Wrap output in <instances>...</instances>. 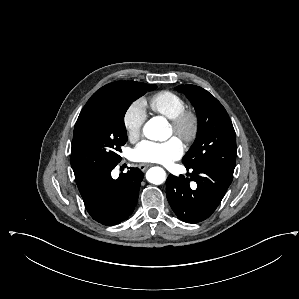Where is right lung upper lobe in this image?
<instances>
[{
	"instance_id": "cb5924a9",
	"label": "right lung upper lobe",
	"mask_w": 299,
	"mask_h": 299,
	"mask_svg": "<svg viewBox=\"0 0 299 299\" xmlns=\"http://www.w3.org/2000/svg\"><path fill=\"white\" fill-rule=\"evenodd\" d=\"M141 84L140 82H134V81H117V82H112L109 83L99 90H97L91 98L88 100L84 108L82 109L81 113L79 116H82L84 113H86L89 109L94 107L96 104H98L100 101L105 99L106 97L122 92V91H127V90H134L138 89Z\"/></svg>"
}]
</instances>
